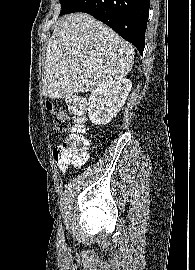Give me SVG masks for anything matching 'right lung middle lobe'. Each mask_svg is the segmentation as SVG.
Returning <instances> with one entry per match:
<instances>
[{
	"label": "right lung middle lobe",
	"instance_id": "dd1d6c3e",
	"mask_svg": "<svg viewBox=\"0 0 195 270\" xmlns=\"http://www.w3.org/2000/svg\"><path fill=\"white\" fill-rule=\"evenodd\" d=\"M77 0H60L61 3V12L60 15L68 14L72 5L76 2Z\"/></svg>",
	"mask_w": 195,
	"mask_h": 270
}]
</instances>
